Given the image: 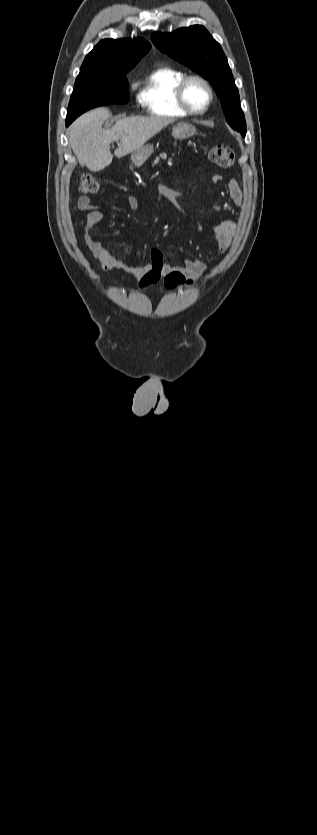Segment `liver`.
<instances>
[{
  "label": "liver",
  "mask_w": 317,
  "mask_h": 835,
  "mask_svg": "<svg viewBox=\"0 0 317 835\" xmlns=\"http://www.w3.org/2000/svg\"><path fill=\"white\" fill-rule=\"evenodd\" d=\"M111 113L106 108L91 110L76 119L69 130V143L81 165L97 172L111 164L110 144L119 141L117 158L138 151L149 139L170 124L163 118L126 117L110 129L102 128Z\"/></svg>",
  "instance_id": "6515ba94"
}]
</instances>
